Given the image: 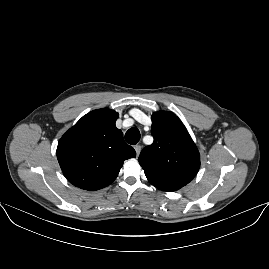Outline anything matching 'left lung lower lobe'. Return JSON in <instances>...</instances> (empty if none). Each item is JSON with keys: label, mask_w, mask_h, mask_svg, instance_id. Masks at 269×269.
Instances as JSON below:
<instances>
[{"label": "left lung lower lobe", "mask_w": 269, "mask_h": 269, "mask_svg": "<svg viewBox=\"0 0 269 269\" xmlns=\"http://www.w3.org/2000/svg\"><path fill=\"white\" fill-rule=\"evenodd\" d=\"M158 189L164 190V191H176L180 188H171V187H162V186H156Z\"/></svg>", "instance_id": "obj_1"}]
</instances>
